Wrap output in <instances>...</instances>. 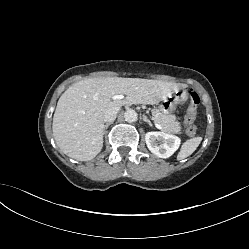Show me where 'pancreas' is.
Wrapping results in <instances>:
<instances>
[{
  "instance_id": "obj_1",
  "label": "pancreas",
  "mask_w": 249,
  "mask_h": 249,
  "mask_svg": "<svg viewBox=\"0 0 249 249\" xmlns=\"http://www.w3.org/2000/svg\"><path fill=\"white\" fill-rule=\"evenodd\" d=\"M152 119L155 123H158L162 126V130L164 132L181 134V125L180 122L176 120L175 115H166L158 109H153Z\"/></svg>"
}]
</instances>
